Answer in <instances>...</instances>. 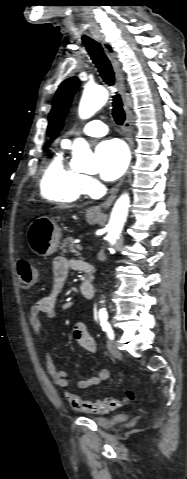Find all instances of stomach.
<instances>
[{
    "label": "stomach",
    "instance_id": "stomach-1",
    "mask_svg": "<svg viewBox=\"0 0 187 479\" xmlns=\"http://www.w3.org/2000/svg\"><path fill=\"white\" fill-rule=\"evenodd\" d=\"M86 219L89 224H94L99 220V216L87 213ZM60 237V228L55 220L48 216L35 219L27 231V239L31 250L43 257L56 251L60 243Z\"/></svg>",
    "mask_w": 187,
    "mask_h": 479
}]
</instances>
